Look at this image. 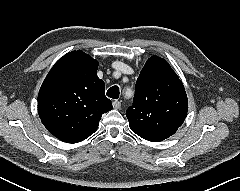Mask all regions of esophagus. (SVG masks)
I'll list each match as a JSON object with an SVG mask.
<instances>
[{
	"label": "esophagus",
	"mask_w": 240,
	"mask_h": 191,
	"mask_svg": "<svg viewBox=\"0 0 240 191\" xmlns=\"http://www.w3.org/2000/svg\"><path fill=\"white\" fill-rule=\"evenodd\" d=\"M113 107H114V109H120L121 108V102L118 101V100H115L113 102Z\"/></svg>",
	"instance_id": "esophagus-1"
}]
</instances>
